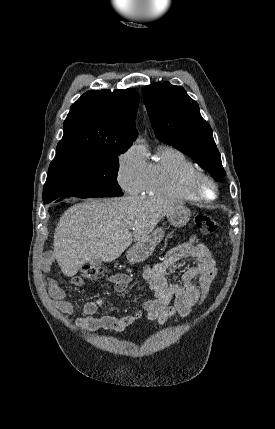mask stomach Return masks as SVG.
<instances>
[{
	"label": "stomach",
	"instance_id": "obj_1",
	"mask_svg": "<svg viewBox=\"0 0 275 429\" xmlns=\"http://www.w3.org/2000/svg\"><path fill=\"white\" fill-rule=\"evenodd\" d=\"M190 215V210L187 207L179 205L167 214V219L171 225L182 227L189 221ZM164 235L165 231L162 228H157L151 235L136 242L133 247L127 251L126 256L128 261L138 263L147 259L152 254L157 244L163 239Z\"/></svg>",
	"mask_w": 275,
	"mask_h": 429
}]
</instances>
